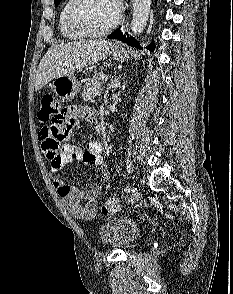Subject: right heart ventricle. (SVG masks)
I'll return each mask as SVG.
<instances>
[{
    "label": "right heart ventricle",
    "mask_w": 233,
    "mask_h": 294,
    "mask_svg": "<svg viewBox=\"0 0 233 294\" xmlns=\"http://www.w3.org/2000/svg\"><path fill=\"white\" fill-rule=\"evenodd\" d=\"M72 4V0H66L59 12L58 16V29L61 36L67 40H78L81 38L78 34H76L68 25L67 14L68 10Z\"/></svg>",
    "instance_id": "1"
}]
</instances>
